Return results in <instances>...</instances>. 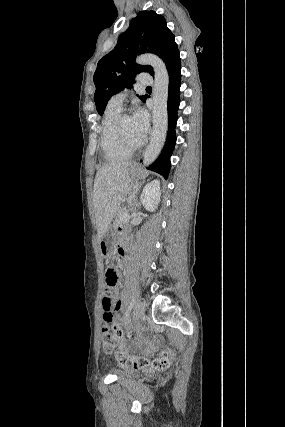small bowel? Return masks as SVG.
<instances>
[{
    "mask_svg": "<svg viewBox=\"0 0 285 427\" xmlns=\"http://www.w3.org/2000/svg\"><path fill=\"white\" fill-rule=\"evenodd\" d=\"M101 310L103 312L104 320L108 323L106 317L112 313H118L123 310V302L119 295V290L117 287L109 293H106L101 301Z\"/></svg>",
    "mask_w": 285,
    "mask_h": 427,
    "instance_id": "c3829d8e",
    "label": "small bowel"
}]
</instances>
